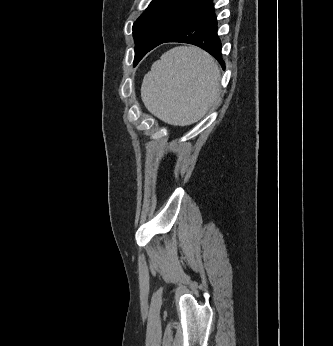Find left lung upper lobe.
Masks as SVG:
<instances>
[{"mask_svg":"<svg viewBox=\"0 0 333 346\" xmlns=\"http://www.w3.org/2000/svg\"><path fill=\"white\" fill-rule=\"evenodd\" d=\"M211 0H153L134 22L136 65L149 48L168 37Z\"/></svg>","mask_w":333,"mask_h":346,"instance_id":"1","label":"left lung upper lobe"}]
</instances>
